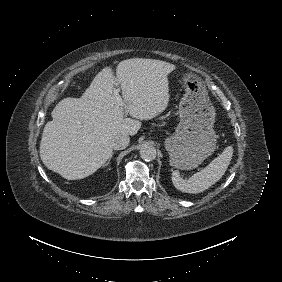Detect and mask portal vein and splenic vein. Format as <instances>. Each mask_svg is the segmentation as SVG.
Segmentation results:
<instances>
[{
    "label": "portal vein and splenic vein",
    "mask_w": 282,
    "mask_h": 282,
    "mask_svg": "<svg viewBox=\"0 0 282 282\" xmlns=\"http://www.w3.org/2000/svg\"><path fill=\"white\" fill-rule=\"evenodd\" d=\"M114 96H115V99H116V102H117L118 106L122 107L124 105V102L121 99L120 95L118 94V90L117 89H115V91H114Z\"/></svg>",
    "instance_id": "18ae733b"
}]
</instances>
